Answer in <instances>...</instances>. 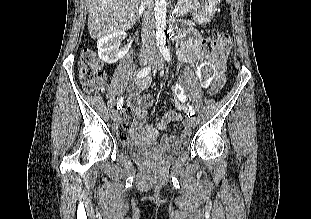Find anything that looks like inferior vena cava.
I'll use <instances>...</instances> for the list:
<instances>
[{
	"mask_svg": "<svg viewBox=\"0 0 311 219\" xmlns=\"http://www.w3.org/2000/svg\"><path fill=\"white\" fill-rule=\"evenodd\" d=\"M144 7V14L142 20V50H155V19H154V4L153 0H141Z\"/></svg>",
	"mask_w": 311,
	"mask_h": 219,
	"instance_id": "inferior-vena-cava-1",
	"label": "inferior vena cava"
}]
</instances>
